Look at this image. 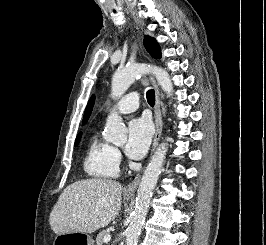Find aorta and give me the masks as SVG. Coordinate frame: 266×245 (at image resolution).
<instances>
[{
    "mask_svg": "<svg viewBox=\"0 0 266 245\" xmlns=\"http://www.w3.org/2000/svg\"><path fill=\"white\" fill-rule=\"evenodd\" d=\"M153 72L160 84L162 90L167 96H172L173 84L171 76L165 68L160 66H151L146 68L143 64H130L122 70H116L111 80L112 98H119L121 94L126 92L137 76ZM105 141H110L113 145H125L127 143V129L122 123V118L118 112H111L106 120L104 131ZM167 153V143H161L156 149L148 167H146L143 177L140 181L139 189L136 197V207L130 217V225L126 229L125 245H138L141 229L144 225L145 217L148 213L149 203L156 187L158 177L162 171L163 161Z\"/></svg>",
    "mask_w": 266,
    "mask_h": 245,
    "instance_id": "obj_1",
    "label": "aorta"
}]
</instances>
